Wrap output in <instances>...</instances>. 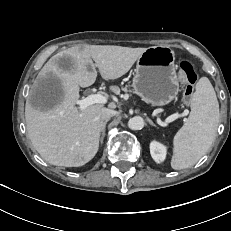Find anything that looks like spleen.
Returning a JSON list of instances; mask_svg holds the SVG:
<instances>
[{"instance_id": "obj_1", "label": "spleen", "mask_w": 231, "mask_h": 231, "mask_svg": "<svg viewBox=\"0 0 231 231\" xmlns=\"http://www.w3.org/2000/svg\"><path fill=\"white\" fill-rule=\"evenodd\" d=\"M219 123V104L212 84L202 77L196 84L190 115L174 137L171 167L193 166L212 145Z\"/></svg>"}]
</instances>
